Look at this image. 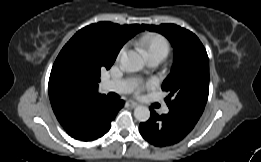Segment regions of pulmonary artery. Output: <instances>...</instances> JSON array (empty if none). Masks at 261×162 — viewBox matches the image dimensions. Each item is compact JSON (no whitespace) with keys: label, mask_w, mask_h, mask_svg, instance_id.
Here are the masks:
<instances>
[{"label":"pulmonary artery","mask_w":261,"mask_h":162,"mask_svg":"<svg viewBox=\"0 0 261 162\" xmlns=\"http://www.w3.org/2000/svg\"><path fill=\"white\" fill-rule=\"evenodd\" d=\"M164 58L160 56H151L148 58L149 65L151 67L157 66ZM135 87V82L130 79L115 80L110 79L103 83V90L114 93H128ZM162 112L167 114L169 112L168 106L162 108Z\"/></svg>","instance_id":"obj_1"}]
</instances>
